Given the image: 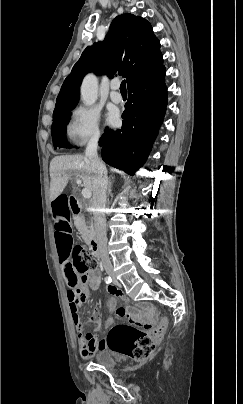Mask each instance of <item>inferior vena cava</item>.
Listing matches in <instances>:
<instances>
[{
  "label": "inferior vena cava",
  "instance_id": "obj_1",
  "mask_svg": "<svg viewBox=\"0 0 243 404\" xmlns=\"http://www.w3.org/2000/svg\"><path fill=\"white\" fill-rule=\"evenodd\" d=\"M99 136H92L85 152V158L90 160L92 180H93V202L92 212L94 216L95 234L97 240V246L101 260L104 264L108 274L114 273V268L110 262L108 250H107V238H106V190H107V170L102 164L100 158H98Z\"/></svg>",
  "mask_w": 243,
  "mask_h": 404
}]
</instances>
